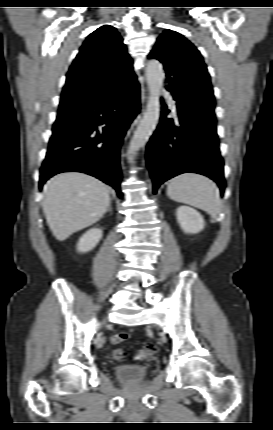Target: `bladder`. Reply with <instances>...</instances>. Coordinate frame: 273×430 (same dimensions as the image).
I'll return each mask as SVG.
<instances>
[{"label": "bladder", "instance_id": "1", "mask_svg": "<svg viewBox=\"0 0 273 430\" xmlns=\"http://www.w3.org/2000/svg\"><path fill=\"white\" fill-rule=\"evenodd\" d=\"M116 376L124 382H136L147 374V368L142 365L124 364L115 367Z\"/></svg>", "mask_w": 273, "mask_h": 430}]
</instances>
